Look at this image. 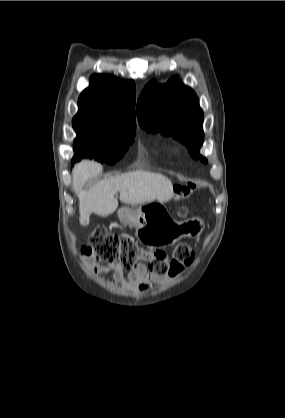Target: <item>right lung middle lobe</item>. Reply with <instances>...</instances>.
Instances as JSON below:
<instances>
[{"mask_svg": "<svg viewBox=\"0 0 285 418\" xmlns=\"http://www.w3.org/2000/svg\"><path fill=\"white\" fill-rule=\"evenodd\" d=\"M73 128L77 138L74 140L75 154L71 163L89 158L114 164L122 158L135 136V127L126 128L82 118L73 119Z\"/></svg>", "mask_w": 285, "mask_h": 418, "instance_id": "1", "label": "right lung middle lobe"}]
</instances>
